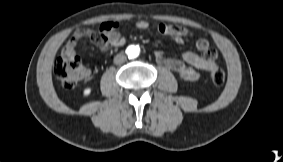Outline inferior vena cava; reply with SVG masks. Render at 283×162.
Returning <instances> with one entry per match:
<instances>
[{
	"label": "inferior vena cava",
	"mask_w": 283,
	"mask_h": 162,
	"mask_svg": "<svg viewBox=\"0 0 283 162\" xmlns=\"http://www.w3.org/2000/svg\"><path fill=\"white\" fill-rule=\"evenodd\" d=\"M126 61V56L122 53L120 54H117L115 57H114V63L116 65H120L122 63H124Z\"/></svg>",
	"instance_id": "inferior-vena-cava-1"
}]
</instances>
